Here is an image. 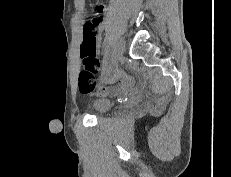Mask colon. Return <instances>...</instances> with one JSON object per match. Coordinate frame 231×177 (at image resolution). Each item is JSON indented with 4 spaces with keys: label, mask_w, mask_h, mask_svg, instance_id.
Returning <instances> with one entry per match:
<instances>
[{
    "label": "colon",
    "mask_w": 231,
    "mask_h": 177,
    "mask_svg": "<svg viewBox=\"0 0 231 177\" xmlns=\"http://www.w3.org/2000/svg\"><path fill=\"white\" fill-rule=\"evenodd\" d=\"M97 31L94 25L87 23L83 29V42L80 56L83 69L79 74V90L82 93H90L98 88L100 92L108 91L106 86H97L95 74L99 69V61L96 57Z\"/></svg>",
    "instance_id": "5ec220e1"
}]
</instances>
